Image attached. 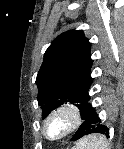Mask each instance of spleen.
Returning a JSON list of instances; mask_svg holds the SVG:
<instances>
[{"label": "spleen", "instance_id": "obj_1", "mask_svg": "<svg viewBox=\"0 0 124 149\" xmlns=\"http://www.w3.org/2000/svg\"><path fill=\"white\" fill-rule=\"evenodd\" d=\"M86 145L87 149H107L102 144V139H97L95 136L85 139L78 147V149H84Z\"/></svg>", "mask_w": 124, "mask_h": 149}]
</instances>
